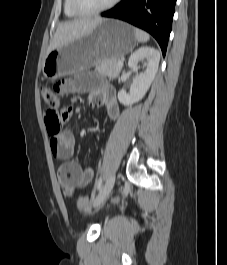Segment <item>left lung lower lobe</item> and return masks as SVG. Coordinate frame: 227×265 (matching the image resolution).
<instances>
[{
    "label": "left lung lower lobe",
    "instance_id": "1",
    "mask_svg": "<svg viewBox=\"0 0 227 265\" xmlns=\"http://www.w3.org/2000/svg\"><path fill=\"white\" fill-rule=\"evenodd\" d=\"M175 4L176 0H122L101 16L121 19L149 32L165 55Z\"/></svg>",
    "mask_w": 227,
    "mask_h": 265
}]
</instances>
